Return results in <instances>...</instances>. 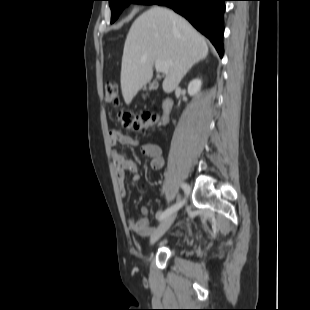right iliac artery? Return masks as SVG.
I'll use <instances>...</instances> for the list:
<instances>
[{
    "label": "right iliac artery",
    "mask_w": 310,
    "mask_h": 310,
    "mask_svg": "<svg viewBox=\"0 0 310 310\" xmlns=\"http://www.w3.org/2000/svg\"><path fill=\"white\" fill-rule=\"evenodd\" d=\"M181 187L185 193L186 196H188L189 192H190V187L188 184L186 183H182ZM186 202V199L180 200L177 204L169 207L168 209H166L161 216L159 217V221L164 220L167 216H169L170 214H172L173 212L177 211L178 209H180L184 203Z\"/></svg>",
    "instance_id": "right-iliac-artery-1"
}]
</instances>
